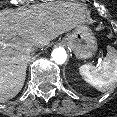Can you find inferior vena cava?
Wrapping results in <instances>:
<instances>
[{"mask_svg":"<svg viewBox=\"0 0 117 117\" xmlns=\"http://www.w3.org/2000/svg\"><path fill=\"white\" fill-rule=\"evenodd\" d=\"M28 51L31 55H36L38 53V48L36 46H31Z\"/></svg>","mask_w":117,"mask_h":117,"instance_id":"602c4592","label":"inferior vena cava"}]
</instances>
